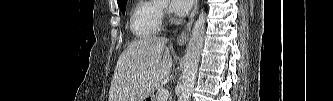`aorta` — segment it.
Masks as SVG:
<instances>
[{
    "mask_svg": "<svg viewBox=\"0 0 333 101\" xmlns=\"http://www.w3.org/2000/svg\"><path fill=\"white\" fill-rule=\"evenodd\" d=\"M205 14L200 13L196 21L184 57V71L178 101H189L195 84L201 50L205 36Z\"/></svg>",
    "mask_w": 333,
    "mask_h": 101,
    "instance_id": "aorta-1",
    "label": "aorta"
}]
</instances>
